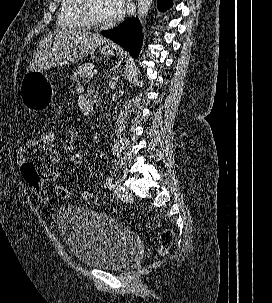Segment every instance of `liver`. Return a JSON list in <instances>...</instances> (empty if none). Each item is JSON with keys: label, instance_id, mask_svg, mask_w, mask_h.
I'll list each match as a JSON object with an SVG mask.
<instances>
[{"label": "liver", "instance_id": "liver-1", "mask_svg": "<svg viewBox=\"0 0 272 303\" xmlns=\"http://www.w3.org/2000/svg\"><path fill=\"white\" fill-rule=\"evenodd\" d=\"M105 41L102 36L86 29H55L40 41L27 72L75 63Z\"/></svg>", "mask_w": 272, "mask_h": 303}]
</instances>
